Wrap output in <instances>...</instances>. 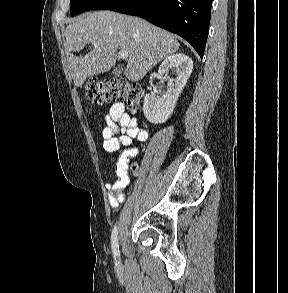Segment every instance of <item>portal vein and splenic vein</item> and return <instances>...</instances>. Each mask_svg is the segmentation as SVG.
Returning <instances> with one entry per match:
<instances>
[{
	"mask_svg": "<svg viewBox=\"0 0 288 293\" xmlns=\"http://www.w3.org/2000/svg\"><path fill=\"white\" fill-rule=\"evenodd\" d=\"M118 57L120 59H127L128 58V52L125 50H120L118 53Z\"/></svg>",
	"mask_w": 288,
	"mask_h": 293,
	"instance_id": "obj_1",
	"label": "portal vein and splenic vein"
}]
</instances>
